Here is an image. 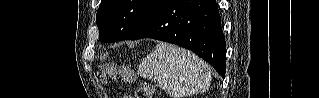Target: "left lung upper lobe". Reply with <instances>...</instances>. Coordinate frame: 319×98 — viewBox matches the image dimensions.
Wrapping results in <instances>:
<instances>
[{
    "label": "left lung upper lobe",
    "mask_w": 319,
    "mask_h": 98,
    "mask_svg": "<svg viewBox=\"0 0 319 98\" xmlns=\"http://www.w3.org/2000/svg\"><path fill=\"white\" fill-rule=\"evenodd\" d=\"M159 0H102L96 22L99 40L115 42L128 39L147 20Z\"/></svg>",
    "instance_id": "5c2ea615"
}]
</instances>
